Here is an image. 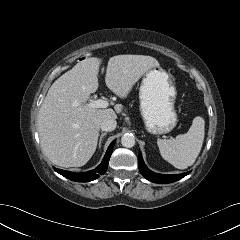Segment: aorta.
<instances>
[{"label": "aorta", "mask_w": 240, "mask_h": 240, "mask_svg": "<svg viewBox=\"0 0 240 240\" xmlns=\"http://www.w3.org/2000/svg\"><path fill=\"white\" fill-rule=\"evenodd\" d=\"M121 144L123 147L132 148L135 145V138L131 134H125L121 138Z\"/></svg>", "instance_id": "762f6f07"}]
</instances>
